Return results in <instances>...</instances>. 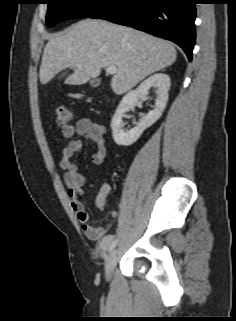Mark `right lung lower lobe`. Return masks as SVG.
<instances>
[{
    "label": "right lung lower lobe",
    "mask_w": 236,
    "mask_h": 321,
    "mask_svg": "<svg viewBox=\"0 0 236 321\" xmlns=\"http://www.w3.org/2000/svg\"><path fill=\"white\" fill-rule=\"evenodd\" d=\"M196 0H111L90 18L130 26L178 44L192 59Z\"/></svg>",
    "instance_id": "obj_1"
}]
</instances>
